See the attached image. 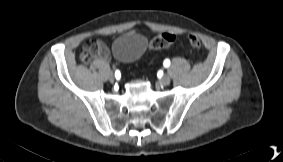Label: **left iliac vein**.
I'll return each instance as SVG.
<instances>
[{"label": "left iliac vein", "mask_w": 283, "mask_h": 162, "mask_svg": "<svg viewBox=\"0 0 283 162\" xmlns=\"http://www.w3.org/2000/svg\"><path fill=\"white\" fill-rule=\"evenodd\" d=\"M159 82L164 85V86H167L170 84L171 80H170V77L167 76V75H164L160 78Z\"/></svg>", "instance_id": "obj_1"}]
</instances>
